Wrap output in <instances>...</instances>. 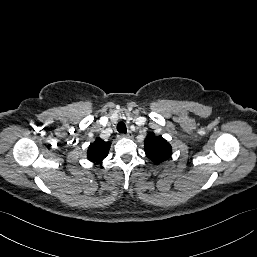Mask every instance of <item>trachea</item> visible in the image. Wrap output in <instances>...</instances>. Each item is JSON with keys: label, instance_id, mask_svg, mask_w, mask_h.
I'll return each mask as SVG.
<instances>
[{"label": "trachea", "instance_id": "1", "mask_svg": "<svg viewBox=\"0 0 257 257\" xmlns=\"http://www.w3.org/2000/svg\"><path fill=\"white\" fill-rule=\"evenodd\" d=\"M117 131H118L119 133L126 134L127 128H126V125H125L124 122H119V123L117 124Z\"/></svg>", "mask_w": 257, "mask_h": 257}]
</instances>
